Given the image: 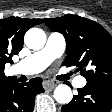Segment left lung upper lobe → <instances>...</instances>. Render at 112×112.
<instances>
[{"instance_id": "obj_1", "label": "left lung upper lobe", "mask_w": 112, "mask_h": 112, "mask_svg": "<svg viewBox=\"0 0 112 112\" xmlns=\"http://www.w3.org/2000/svg\"><path fill=\"white\" fill-rule=\"evenodd\" d=\"M44 22L65 37L67 57L62 65L76 66L87 83L112 85V37L100 24L78 15Z\"/></svg>"}]
</instances>
